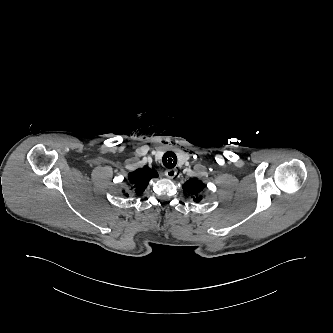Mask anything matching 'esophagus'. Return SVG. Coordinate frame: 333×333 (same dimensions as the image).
<instances>
[{
  "label": "esophagus",
  "instance_id": "esophagus-1",
  "mask_svg": "<svg viewBox=\"0 0 333 333\" xmlns=\"http://www.w3.org/2000/svg\"><path fill=\"white\" fill-rule=\"evenodd\" d=\"M178 173L176 168L165 170V176L169 179H173Z\"/></svg>",
  "mask_w": 333,
  "mask_h": 333
}]
</instances>
